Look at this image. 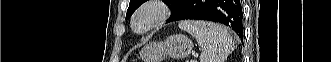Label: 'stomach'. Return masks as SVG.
I'll list each match as a JSON object with an SVG mask.
<instances>
[{
  "label": "stomach",
  "instance_id": "0dacf381",
  "mask_svg": "<svg viewBox=\"0 0 331 62\" xmlns=\"http://www.w3.org/2000/svg\"><path fill=\"white\" fill-rule=\"evenodd\" d=\"M193 49L192 41L181 34L171 35L163 42H151L140 52L143 62H161L167 57L183 59Z\"/></svg>",
  "mask_w": 331,
  "mask_h": 62
}]
</instances>
